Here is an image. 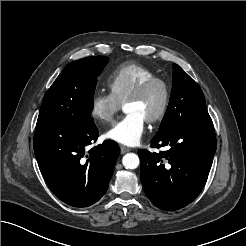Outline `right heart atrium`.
I'll return each mask as SVG.
<instances>
[{
  "mask_svg": "<svg viewBox=\"0 0 246 246\" xmlns=\"http://www.w3.org/2000/svg\"><path fill=\"white\" fill-rule=\"evenodd\" d=\"M119 108L120 103L111 93L96 92L91 98L90 114L97 122H112Z\"/></svg>",
  "mask_w": 246,
  "mask_h": 246,
  "instance_id": "1",
  "label": "right heart atrium"
}]
</instances>
